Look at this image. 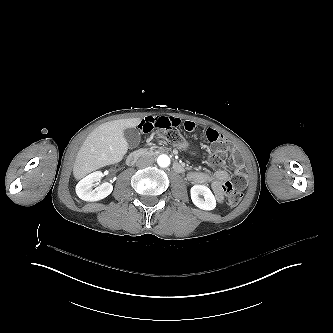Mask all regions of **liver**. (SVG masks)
<instances>
[{
  "mask_svg": "<svg viewBox=\"0 0 333 333\" xmlns=\"http://www.w3.org/2000/svg\"><path fill=\"white\" fill-rule=\"evenodd\" d=\"M142 118L118 119L96 127L85 139L73 165V176L79 181L87 174L121 162L128 151L124 130L135 128Z\"/></svg>",
  "mask_w": 333,
  "mask_h": 333,
  "instance_id": "1",
  "label": "liver"
}]
</instances>
